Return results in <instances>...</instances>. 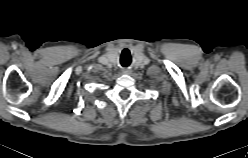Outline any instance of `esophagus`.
I'll return each instance as SVG.
<instances>
[{"instance_id": "esophagus-1", "label": "esophagus", "mask_w": 248, "mask_h": 158, "mask_svg": "<svg viewBox=\"0 0 248 158\" xmlns=\"http://www.w3.org/2000/svg\"><path fill=\"white\" fill-rule=\"evenodd\" d=\"M123 73H124V74H129L130 71H128V70H123Z\"/></svg>"}]
</instances>
